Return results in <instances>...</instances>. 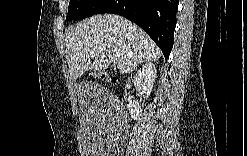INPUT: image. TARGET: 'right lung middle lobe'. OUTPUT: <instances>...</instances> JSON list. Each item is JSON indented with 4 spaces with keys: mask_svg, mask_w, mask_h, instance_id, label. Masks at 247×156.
I'll return each mask as SVG.
<instances>
[{
    "mask_svg": "<svg viewBox=\"0 0 247 156\" xmlns=\"http://www.w3.org/2000/svg\"><path fill=\"white\" fill-rule=\"evenodd\" d=\"M107 2V0H70L66 20L90 17Z\"/></svg>",
    "mask_w": 247,
    "mask_h": 156,
    "instance_id": "1",
    "label": "right lung middle lobe"
}]
</instances>
